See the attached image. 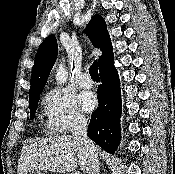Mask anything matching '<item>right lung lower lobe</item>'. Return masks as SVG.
<instances>
[{
    "label": "right lung lower lobe",
    "mask_w": 175,
    "mask_h": 174,
    "mask_svg": "<svg viewBox=\"0 0 175 174\" xmlns=\"http://www.w3.org/2000/svg\"><path fill=\"white\" fill-rule=\"evenodd\" d=\"M98 89L99 107L92 113L88 137L107 152H114L120 143L121 95L118 72L114 60L100 69Z\"/></svg>",
    "instance_id": "obj_1"
}]
</instances>
